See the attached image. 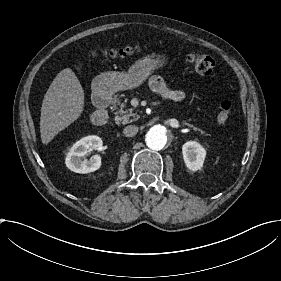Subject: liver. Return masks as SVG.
<instances>
[{"instance_id":"liver-1","label":"liver","mask_w":281,"mask_h":281,"mask_svg":"<svg viewBox=\"0 0 281 281\" xmlns=\"http://www.w3.org/2000/svg\"><path fill=\"white\" fill-rule=\"evenodd\" d=\"M85 91L72 69H63L51 83L43 99L40 117L42 144L47 146L61 131L81 118Z\"/></svg>"}]
</instances>
